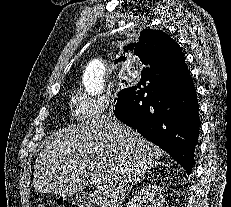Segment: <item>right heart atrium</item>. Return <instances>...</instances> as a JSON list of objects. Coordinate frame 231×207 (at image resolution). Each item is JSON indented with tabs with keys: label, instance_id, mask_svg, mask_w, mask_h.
<instances>
[{
	"label": "right heart atrium",
	"instance_id": "obj_1",
	"mask_svg": "<svg viewBox=\"0 0 231 207\" xmlns=\"http://www.w3.org/2000/svg\"><path fill=\"white\" fill-rule=\"evenodd\" d=\"M109 97H92L85 92H76L71 98L73 116L81 124H90L101 117L111 106Z\"/></svg>",
	"mask_w": 231,
	"mask_h": 207
}]
</instances>
